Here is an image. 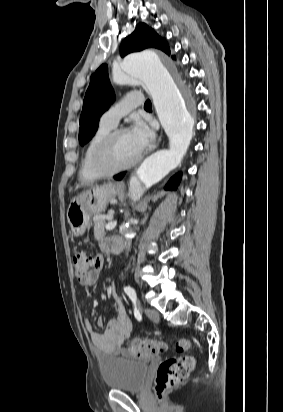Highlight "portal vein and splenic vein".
<instances>
[{
	"label": "portal vein and splenic vein",
	"instance_id": "18ae733b",
	"mask_svg": "<svg viewBox=\"0 0 283 412\" xmlns=\"http://www.w3.org/2000/svg\"><path fill=\"white\" fill-rule=\"evenodd\" d=\"M116 221H110L105 225L106 230H113L116 227Z\"/></svg>",
	"mask_w": 283,
	"mask_h": 412
}]
</instances>
